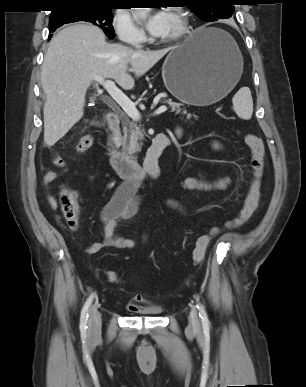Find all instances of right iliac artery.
<instances>
[{"mask_svg": "<svg viewBox=\"0 0 306 387\" xmlns=\"http://www.w3.org/2000/svg\"><path fill=\"white\" fill-rule=\"evenodd\" d=\"M94 293L89 296L87 299L84 307L82 308L81 311V317H80V329L85 330L87 328V320H88V309L89 306L91 305L93 298H94Z\"/></svg>", "mask_w": 306, "mask_h": 387, "instance_id": "right-iliac-artery-1", "label": "right iliac artery"}]
</instances>
